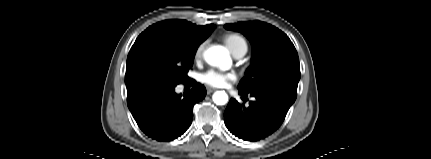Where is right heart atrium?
<instances>
[{
	"mask_svg": "<svg viewBox=\"0 0 431 159\" xmlns=\"http://www.w3.org/2000/svg\"><path fill=\"white\" fill-rule=\"evenodd\" d=\"M204 46H205V43H201L197 46L195 53H194L195 59H199L202 56Z\"/></svg>",
	"mask_w": 431,
	"mask_h": 159,
	"instance_id": "obj_1",
	"label": "right heart atrium"
}]
</instances>
